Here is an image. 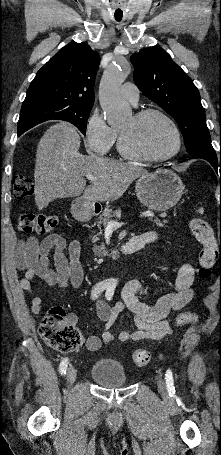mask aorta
<instances>
[{"label": "aorta", "mask_w": 221, "mask_h": 455, "mask_svg": "<svg viewBox=\"0 0 221 455\" xmlns=\"http://www.w3.org/2000/svg\"><path fill=\"white\" fill-rule=\"evenodd\" d=\"M127 63L110 65L103 73L99 86V101L110 126L124 123L131 115L129 104L120 96V86L129 75Z\"/></svg>", "instance_id": "aorta-1"}]
</instances>
